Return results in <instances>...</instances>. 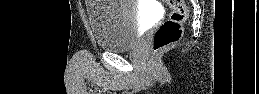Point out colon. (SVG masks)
<instances>
[{"label":"colon","mask_w":259,"mask_h":94,"mask_svg":"<svg viewBox=\"0 0 259 94\" xmlns=\"http://www.w3.org/2000/svg\"><path fill=\"white\" fill-rule=\"evenodd\" d=\"M170 8L168 19L153 35V52L158 53L176 43L182 36L183 24L188 18V10L183 0H166Z\"/></svg>","instance_id":"1"}]
</instances>
